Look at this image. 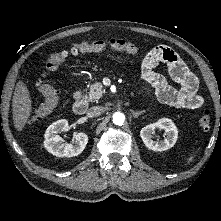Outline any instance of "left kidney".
<instances>
[{"mask_svg": "<svg viewBox=\"0 0 221 221\" xmlns=\"http://www.w3.org/2000/svg\"><path fill=\"white\" fill-rule=\"evenodd\" d=\"M156 129L164 130L166 137L164 140L154 141L153 134ZM140 136L144 144L153 151H165L173 147L178 138V131L171 119L162 118L153 124H149L141 129Z\"/></svg>", "mask_w": 221, "mask_h": 221, "instance_id": "obj_1", "label": "left kidney"}]
</instances>
